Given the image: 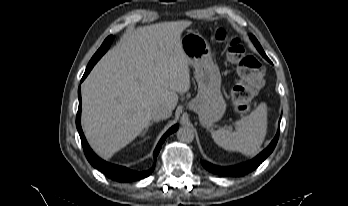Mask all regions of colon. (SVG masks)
<instances>
[{"instance_id":"5ec220e1","label":"colon","mask_w":348,"mask_h":206,"mask_svg":"<svg viewBox=\"0 0 348 206\" xmlns=\"http://www.w3.org/2000/svg\"><path fill=\"white\" fill-rule=\"evenodd\" d=\"M213 40L228 47L229 59L234 62L240 73V80L232 90V102L240 114L249 112L256 92L263 85L264 65L255 57L246 53L242 40L224 28L211 32Z\"/></svg>"}]
</instances>
